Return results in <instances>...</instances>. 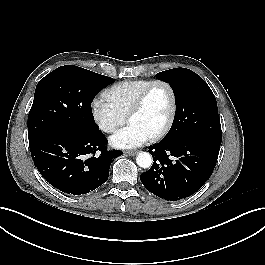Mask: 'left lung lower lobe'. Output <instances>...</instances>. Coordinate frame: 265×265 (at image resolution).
I'll return each mask as SVG.
<instances>
[{"label": "left lung lower lobe", "mask_w": 265, "mask_h": 265, "mask_svg": "<svg viewBox=\"0 0 265 265\" xmlns=\"http://www.w3.org/2000/svg\"><path fill=\"white\" fill-rule=\"evenodd\" d=\"M220 144L199 135L160 141L149 147L154 163L140 180L148 191L165 200L188 197L211 176Z\"/></svg>", "instance_id": "0a47b994"}]
</instances>
